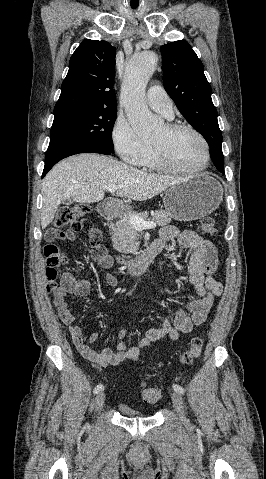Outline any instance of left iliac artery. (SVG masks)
<instances>
[{
  "label": "left iliac artery",
  "instance_id": "44dca946",
  "mask_svg": "<svg viewBox=\"0 0 266 479\" xmlns=\"http://www.w3.org/2000/svg\"><path fill=\"white\" fill-rule=\"evenodd\" d=\"M173 389H174L176 392L180 393V394H184V393H185V389H184L182 386H180V385L174 384V385H173Z\"/></svg>",
  "mask_w": 266,
  "mask_h": 479
}]
</instances>
